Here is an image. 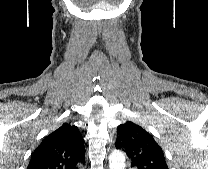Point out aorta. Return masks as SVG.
I'll use <instances>...</instances> for the list:
<instances>
[{
  "label": "aorta",
  "instance_id": "aorta-1",
  "mask_svg": "<svg viewBox=\"0 0 208 169\" xmlns=\"http://www.w3.org/2000/svg\"><path fill=\"white\" fill-rule=\"evenodd\" d=\"M109 169H125V155L121 151H113L109 156Z\"/></svg>",
  "mask_w": 208,
  "mask_h": 169
}]
</instances>
